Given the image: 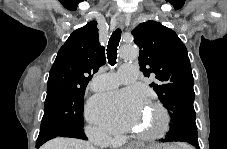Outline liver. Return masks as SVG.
<instances>
[{"instance_id":"1","label":"liver","mask_w":227,"mask_h":149,"mask_svg":"<svg viewBox=\"0 0 227 149\" xmlns=\"http://www.w3.org/2000/svg\"><path fill=\"white\" fill-rule=\"evenodd\" d=\"M173 148V146H164ZM41 149H95L89 142L73 138H55L44 144Z\"/></svg>"}]
</instances>
